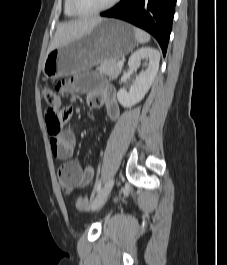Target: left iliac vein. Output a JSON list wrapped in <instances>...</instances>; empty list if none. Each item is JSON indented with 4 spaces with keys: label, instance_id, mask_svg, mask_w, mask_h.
<instances>
[{
    "label": "left iliac vein",
    "instance_id": "1",
    "mask_svg": "<svg viewBox=\"0 0 227 265\" xmlns=\"http://www.w3.org/2000/svg\"><path fill=\"white\" fill-rule=\"evenodd\" d=\"M113 184H114V178L111 177L106 182L104 187L99 191L98 195L96 196L93 203L91 204V210L92 211L98 209L100 206H102L104 204V202L106 201L107 197L109 196V194L112 190Z\"/></svg>",
    "mask_w": 227,
    "mask_h": 265
}]
</instances>
